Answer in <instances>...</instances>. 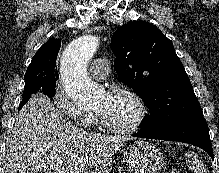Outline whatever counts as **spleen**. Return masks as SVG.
I'll return each mask as SVG.
<instances>
[{
	"label": "spleen",
	"mask_w": 219,
	"mask_h": 173,
	"mask_svg": "<svg viewBox=\"0 0 219 173\" xmlns=\"http://www.w3.org/2000/svg\"><path fill=\"white\" fill-rule=\"evenodd\" d=\"M186 159H187V162L189 163L190 168H192L195 173L206 172L204 167H202V165L198 163L197 158L194 154H187Z\"/></svg>",
	"instance_id": "spleen-1"
}]
</instances>
